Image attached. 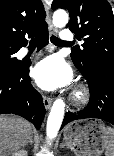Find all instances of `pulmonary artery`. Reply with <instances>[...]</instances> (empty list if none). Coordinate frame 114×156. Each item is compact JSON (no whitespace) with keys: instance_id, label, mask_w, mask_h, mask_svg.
<instances>
[{"instance_id":"obj_1","label":"pulmonary artery","mask_w":114,"mask_h":156,"mask_svg":"<svg viewBox=\"0 0 114 156\" xmlns=\"http://www.w3.org/2000/svg\"><path fill=\"white\" fill-rule=\"evenodd\" d=\"M72 38H73V35L68 29H65L61 32V40L65 42H69L70 40H72ZM27 53H28L27 49H24L21 52L23 56L26 55Z\"/></svg>"}]
</instances>
